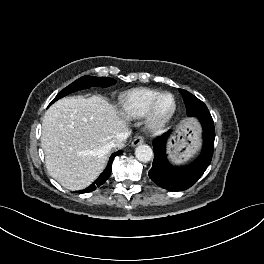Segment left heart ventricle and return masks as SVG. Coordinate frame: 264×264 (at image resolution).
<instances>
[{"mask_svg":"<svg viewBox=\"0 0 264 264\" xmlns=\"http://www.w3.org/2000/svg\"><path fill=\"white\" fill-rule=\"evenodd\" d=\"M172 107V99L170 97H166L160 104V112L165 113L169 111Z\"/></svg>","mask_w":264,"mask_h":264,"instance_id":"b2bd125f","label":"left heart ventricle"}]
</instances>
